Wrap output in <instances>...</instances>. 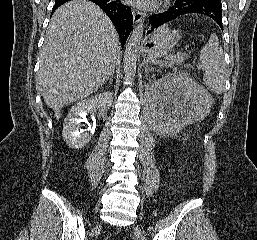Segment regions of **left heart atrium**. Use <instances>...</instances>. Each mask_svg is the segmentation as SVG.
Masks as SVG:
<instances>
[{"instance_id": "1", "label": "left heart atrium", "mask_w": 257, "mask_h": 240, "mask_svg": "<svg viewBox=\"0 0 257 240\" xmlns=\"http://www.w3.org/2000/svg\"><path fill=\"white\" fill-rule=\"evenodd\" d=\"M128 3L141 8L153 7L158 0H126Z\"/></svg>"}]
</instances>
